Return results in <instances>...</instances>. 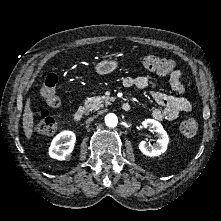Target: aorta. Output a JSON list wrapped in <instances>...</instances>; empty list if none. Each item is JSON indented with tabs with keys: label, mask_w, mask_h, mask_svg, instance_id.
I'll use <instances>...</instances> for the list:
<instances>
[{
	"label": "aorta",
	"mask_w": 221,
	"mask_h": 221,
	"mask_svg": "<svg viewBox=\"0 0 221 221\" xmlns=\"http://www.w3.org/2000/svg\"><path fill=\"white\" fill-rule=\"evenodd\" d=\"M105 124L108 127L114 128L118 124V118L114 113H109L105 116Z\"/></svg>",
	"instance_id": "obj_1"
}]
</instances>
